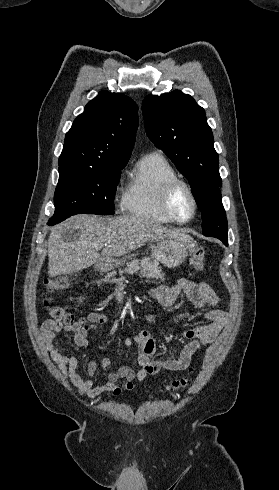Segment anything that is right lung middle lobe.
Returning <instances> with one entry per match:
<instances>
[{
  "label": "right lung middle lobe",
  "mask_w": 279,
  "mask_h": 490,
  "mask_svg": "<svg viewBox=\"0 0 279 490\" xmlns=\"http://www.w3.org/2000/svg\"><path fill=\"white\" fill-rule=\"evenodd\" d=\"M125 166L59 168L55 212L48 224H57L75 214H114L115 191Z\"/></svg>",
  "instance_id": "dd1d6c3e"
}]
</instances>
